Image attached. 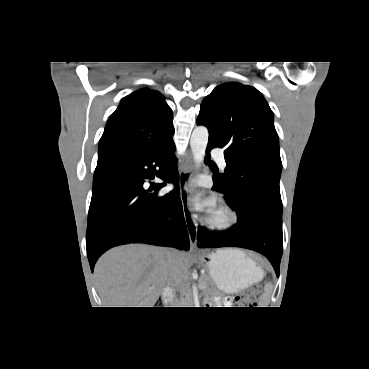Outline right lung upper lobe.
I'll return each instance as SVG.
<instances>
[{
  "instance_id": "cb5924a9",
  "label": "right lung upper lobe",
  "mask_w": 369,
  "mask_h": 369,
  "mask_svg": "<svg viewBox=\"0 0 369 369\" xmlns=\"http://www.w3.org/2000/svg\"><path fill=\"white\" fill-rule=\"evenodd\" d=\"M172 121V110L159 92L141 89L131 93L108 119L97 164H111L164 143L174 134Z\"/></svg>"
}]
</instances>
